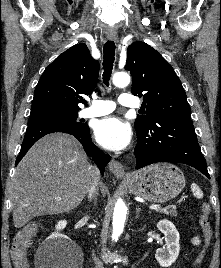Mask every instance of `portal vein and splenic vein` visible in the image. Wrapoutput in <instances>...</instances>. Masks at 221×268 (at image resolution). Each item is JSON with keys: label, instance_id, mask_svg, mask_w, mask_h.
<instances>
[{"label": "portal vein and splenic vein", "instance_id": "portal-vein-and-splenic-vein-1", "mask_svg": "<svg viewBox=\"0 0 221 268\" xmlns=\"http://www.w3.org/2000/svg\"><path fill=\"white\" fill-rule=\"evenodd\" d=\"M160 205L158 204H155V205H151L149 208L152 209V210H157V209H160Z\"/></svg>", "mask_w": 221, "mask_h": 268}]
</instances>
